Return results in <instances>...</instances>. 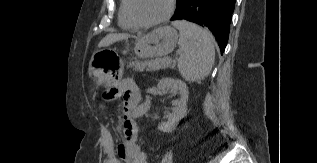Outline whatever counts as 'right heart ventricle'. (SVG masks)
Returning <instances> with one entry per match:
<instances>
[{"instance_id":"e07e8e85","label":"right heart ventricle","mask_w":317,"mask_h":163,"mask_svg":"<svg viewBox=\"0 0 317 163\" xmlns=\"http://www.w3.org/2000/svg\"><path fill=\"white\" fill-rule=\"evenodd\" d=\"M118 22L121 28L126 30L136 29L139 26L133 22L128 13V0H121Z\"/></svg>"}]
</instances>
